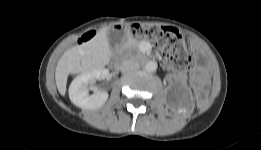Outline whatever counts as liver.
<instances>
[{"instance_id":"1","label":"liver","mask_w":261,"mask_h":150,"mask_svg":"<svg viewBox=\"0 0 261 150\" xmlns=\"http://www.w3.org/2000/svg\"><path fill=\"white\" fill-rule=\"evenodd\" d=\"M108 28L100 29L86 43L71 47L61 56L55 71V81L59 93H66L67 78L76 72H88L104 67L110 60Z\"/></svg>"}]
</instances>
